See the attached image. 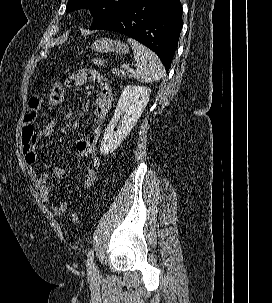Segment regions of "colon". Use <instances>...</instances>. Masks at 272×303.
Instances as JSON below:
<instances>
[{
	"instance_id": "colon-1",
	"label": "colon",
	"mask_w": 272,
	"mask_h": 303,
	"mask_svg": "<svg viewBox=\"0 0 272 303\" xmlns=\"http://www.w3.org/2000/svg\"><path fill=\"white\" fill-rule=\"evenodd\" d=\"M93 63L98 68H105L107 65V62L104 58L96 57L93 59ZM111 73L114 77H121L122 76V70L118 67H113L111 69ZM64 99V88L63 85L59 82H56L53 84L51 91L49 93V108L52 111L57 110ZM49 128H55V120L51 118L47 121V123L44 125ZM71 219L74 223H79L81 221V216L77 212H73L71 214Z\"/></svg>"
}]
</instances>
